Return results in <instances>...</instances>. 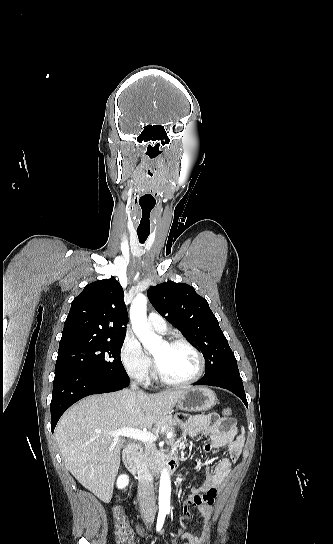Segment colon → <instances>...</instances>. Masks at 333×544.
<instances>
[{
    "mask_svg": "<svg viewBox=\"0 0 333 544\" xmlns=\"http://www.w3.org/2000/svg\"><path fill=\"white\" fill-rule=\"evenodd\" d=\"M233 410L230 407H225L222 409V416L225 419H231ZM114 519H115V533L118 544H133V536L128 524V520L123 511V508L120 505H116L113 510Z\"/></svg>",
    "mask_w": 333,
    "mask_h": 544,
    "instance_id": "1",
    "label": "colon"
}]
</instances>
